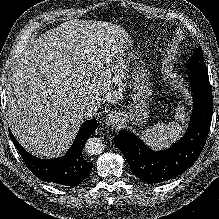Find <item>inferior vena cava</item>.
Masks as SVG:
<instances>
[{"mask_svg": "<svg viewBox=\"0 0 219 219\" xmlns=\"http://www.w3.org/2000/svg\"><path fill=\"white\" fill-rule=\"evenodd\" d=\"M78 111H79L80 116L84 118L93 117L94 115H96V112H97L94 108H91L86 105L80 106Z\"/></svg>", "mask_w": 219, "mask_h": 219, "instance_id": "inferior-vena-cava-1", "label": "inferior vena cava"}]
</instances>
